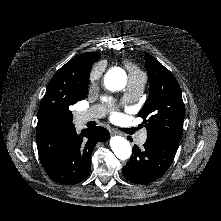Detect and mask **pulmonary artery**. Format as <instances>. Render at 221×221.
Returning <instances> with one entry per match:
<instances>
[{"label": "pulmonary artery", "instance_id": "obj_1", "mask_svg": "<svg viewBox=\"0 0 221 221\" xmlns=\"http://www.w3.org/2000/svg\"><path fill=\"white\" fill-rule=\"evenodd\" d=\"M146 83V76L144 73L139 72L129 76L128 79V86H127V93L125 95L126 100H135L137 99L144 90V86ZM104 115L103 110L101 107H93L86 111L80 112L77 116V123L78 124H85L91 120L96 118H100ZM146 132H142L137 142L139 144H143L146 140Z\"/></svg>", "mask_w": 221, "mask_h": 221}]
</instances>
